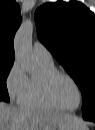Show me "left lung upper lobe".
<instances>
[{"instance_id": "1", "label": "left lung upper lobe", "mask_w": 95, "mask_h": 130, "mask_svg": "<svg viewBox=\"0 0 95 130\" xmlns=\"http://www.w3.org/2000/svg\"><path fill=\"white\" fill-rule=\"evenodd\" d=\"M39 40L79 86L82 109L95 107V15L81 2L47 3L35 12Z\"/></svg>"}]
</instances>
